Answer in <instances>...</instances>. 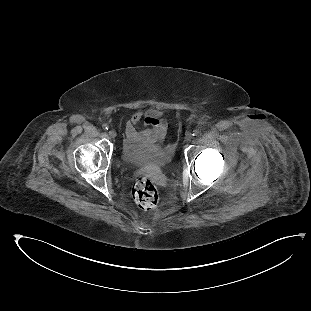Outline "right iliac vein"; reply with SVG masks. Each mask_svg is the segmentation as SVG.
<instances>
[{"instance_id": "obj_1", "label": "right iliac vein", "mask_w": 311, "mask_h": 311, "mask_svg": "<svg viewBox=\"0 0 311 311\" xmlns=\"http://www.w3.org/2000/svg\"><path fill=\"white\" fill-rule=\"evenodd\" d=\"M108 135L110 138H115L116 137V132L114 130H109Z\"/></svg>"}]
</instances>
